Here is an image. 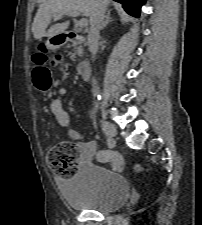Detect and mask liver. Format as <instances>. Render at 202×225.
<instances>
[{"label":"liver","instance_id":"1","mask_svg":"<svg viewBox=\"0 0 202 225\" xmlns=\"http://www.w3.org/2000/svg\"><path fill=\"white\" fill-rule=\"evenodd\" d=\"M98 2H101L105 8L109 4V0H43L32 24L34 38L39 40L42 37H53L67 29L69 22L53 25L46 30L51 17L55 14L77 11L91 20Z\"/></svg>","mask_w":202,"mask_h":225}]
</instances>
